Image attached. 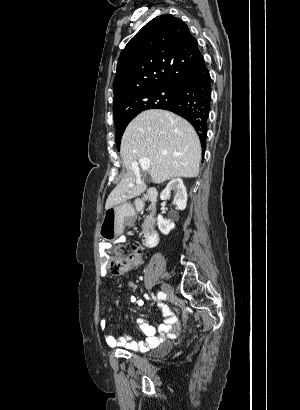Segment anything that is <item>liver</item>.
Masks as SVG:
<instances>
[{
    "label": "liver",
    "instance_id": "6515ba94",
    "mask_svg": "<svg viewBox=\"0 0 300 410\" xmlns=\"http://www.w3.org/2000/svg\"><path fill=\"white\" fill-rule=\"evenodd\" d=\"M120 153L127 172L108 196L105 209L125 203L146 190L147 185L132 166L141 158L150 160L149 174L157 184L174 177H196L201 161L200 140L192 125L160 109L144 111L129 123L122 136Z\"/></svg>",
    "mask_w": 300,
    "mask_h": 410
}]
</instances>
